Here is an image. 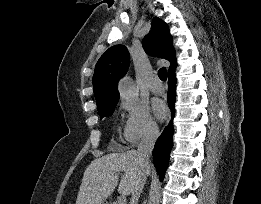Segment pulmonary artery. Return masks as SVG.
Here are the masks:
<instances>
[{
  "label": "pulmonary artery",
  "instance_id": "1",
  "mask_svg": "<svg viewBox=\"0 0 261 204\" xmlns=\"http://www.w3.org/2000/svg\"><path fill=\"white\" fill-rule=\"evenodd\" d=\"M150 90L154 94H161L164 92V87L158 77H153L150 82Z\"/></svg>",
  "mask_w": 261,
  "mask_h": 204
}]
</instances>
